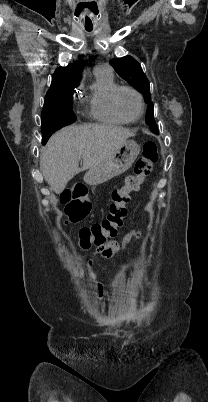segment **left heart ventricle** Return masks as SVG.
I'll use <instances>...</instances> for the list:
<instances>
[{"label": "left heart ventricle", "mask_w": 208, "mask_h": 402, "mask_svg": "<svg viewBox=\"0 0 208 402\" xmlns=\"http://www.w3.org/2000/svg\"><path fill=\"white\" fill-rule=\"evenodd\" d=\"M120 112L129 118H135L140 112V103L135 94L130 91H122L117 98Z\"/></svg>", "instance_id": "b2bd125f"}]
</instances>
